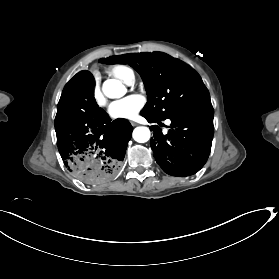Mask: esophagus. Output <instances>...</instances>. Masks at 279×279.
Instances as JSON below:
<instances>
[{
    "label": "esophagus",
    "mask_w": 279,
    "mask_h": 279,
    "mask_svg": "<svg viewBox=\"0 0 279 279\" xmlns=\"http://www.w3.org/2000/svg\"><path fill=\"white\" fill-rule=\"evenodd\" d=\"M130 123H131L133 126L138 125V123H136L135 121H131Z\"/></svg>",
    "instance_id": "1"
}]
</instances>
